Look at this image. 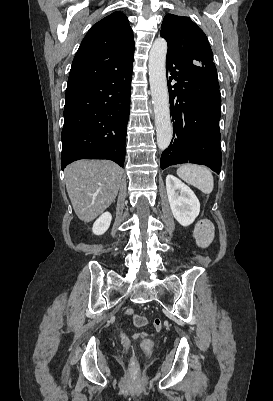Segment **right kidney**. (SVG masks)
<instances>
[{"label": "right kidney", "mask_w": 273, "mask_h": 401, "mask_svg": "<svg viewBox=\"0 0 273 401\" xmlns=\"http://www.w3.org/2000/svg\"><path fill=\"white\" fill-rule=\"evenodd\" d=\"M111 221V213H103V215H101L93 225L92 231L94 235H103V233H106L107 229L110 227Z\"/></svg>", "instance_id": "ca27d5eb"}]
</instances>
